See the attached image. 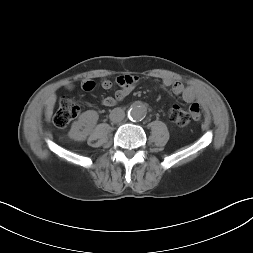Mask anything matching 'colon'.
<instances>
[{
  "mask_svg": "<svg viewBox=\"0 0 253 253\" xmlns=\"http://www.w3.org/2000/svg\"><path fill=\"white\" fill-rule=\"evenodd\" d=\"M80 113L78 103L69 97L62 98L59 107L54 115L53 122L59 128L66 127ZM171 122L178 126H186L190 123L191 117L187 111L178 105H172L168 113Z\"/></svg>",
  "mask_w": 253,
  "mask_h": 253,
  "instance_id": "obj_1",
  "label": "colon"
}]
</instances>
